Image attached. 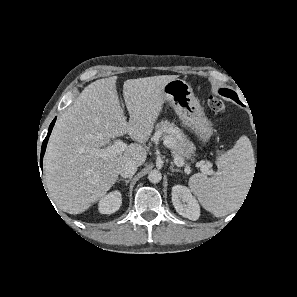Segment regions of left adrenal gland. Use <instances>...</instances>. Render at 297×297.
<instances>
[{
	"label": "left adrenal gland",
	"instance_id": "1",
	"mask_svg": "<svg viewBox=\"0 0 297 297\" xmlns=\"http://www.w3.org/2000/svg\"><path fill=\"white\" fill-rule=\"evenodd\" d=\"M170 170H171V172H180V171H181V170L178 169V168H174L173 163H171Z\"/></svg>",
	"mask_w": 297,
	"mask_h": 297
}]
</instances>
